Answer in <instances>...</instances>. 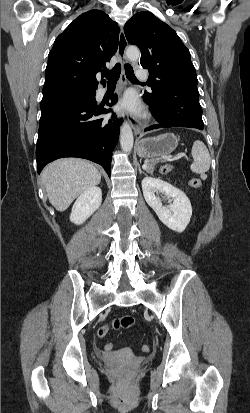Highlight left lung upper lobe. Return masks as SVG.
I'll return each mask as SVG.
<instances>
[{"mask_svg": "<svg viewBox=\"0 0 250 413\" xmlns=\"http://www.w3.org/2000/svg\"><path fill=\"white\" fill-rule=\"evenodd\" d=\"M124 32L141 50L140 65L150 73L152 94L163 95L185 84L197 87L190 52L166 23L150 12H139L126 22Z\"/></svg>", "mask_w": 250, "mask_h": 413, "instance_id": "1", "label": "left lung upper lobe"}]
</instances>
